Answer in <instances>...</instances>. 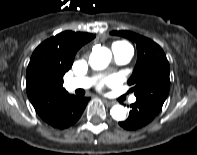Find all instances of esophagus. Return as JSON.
I'll return each mask as SVG.
<instances>
[{
    "label": "esophagus",
    "instance_id": "34e87169",
    "mask_svg": "<svg viewBox=\"0 0 197 155\" xmlns=\"http://www.w3.org/2000/svg\"><path fill=\"white\" fill-rule=\"evenodd\" d=\"M103 102H104L106 105H108V106L114 105V102H113V101H109V100H107V99H103Z\"/></svg>",
    "mask_w": 197,
    "mask_h": 155
}]
</instances>
